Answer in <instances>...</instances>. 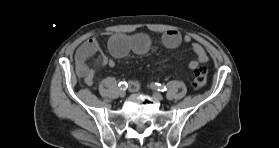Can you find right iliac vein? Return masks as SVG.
Returning a JSON list of instances; mask_svg holds the SVG:
<instances>
[{
	"mask_svg": "<svg viewBox=\"0 0 279 148\" xmlns=\"http://www.w3.org/2000/svg\"><path fill=\"white\" fill-rule=\"evenodd\" d=\"M125 95H126L125 90L120 89V90H119V96H120V97H124Z\"/></svg>",
	"mask_w": 279,
	"mask_h": 148,
	"instance_id": "obj_1",
	"label": "right iliac vein"
}]
</instances>
